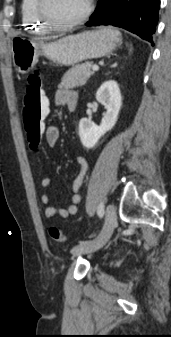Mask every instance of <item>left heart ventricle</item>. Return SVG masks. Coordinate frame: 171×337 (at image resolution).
Wrapping results in <instances>:
<instances>
[{"label":"left heart ventricle","mask_w":171,"mask_h":337,"mask_svg":"<svg viewBox=\"0 0 171 337\" xmlns=\"http://www.w3.org/2000/svg\"><path fill=\"white\" fill-rule=\"evenodd\" d=\"M87 6V0H49L48 10L59 22L71 21L80 16Z\"/></svg>","instance_id":"b2bd125f"}]
</instances>
